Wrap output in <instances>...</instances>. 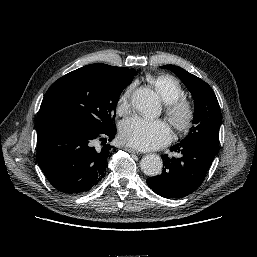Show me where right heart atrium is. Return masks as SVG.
I'll return each instance as SVG.
<instances>
[{
	"mask_svg": "<svg viewBox=\"0 0 257 257\" xmlns=\"http://www.w3.org/2000/svg\"><path fill=\"white\" fill-rule=\"evenodd\" d=\"M133 91V85L128 86L120 95L117 103V113L120 116H126L131 112V95Z\"/></svg>",
	"mask_w": 257,
	"mask_h": 257,
	"instance_id": "d8ad5b80",
	"label": "right heart atrium"
}]
</instances>
